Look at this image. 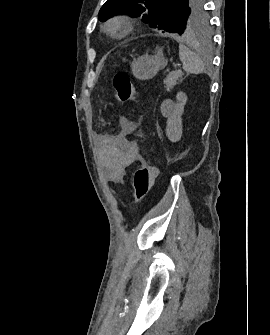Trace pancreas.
<instances>
[{"label": "pancreas", "instance_id": "cf45deb5", "mask_svg": "<svg viewBox=\"0 0 270 335\" xmlns=\"http://www.w3.org/2000/svg\"><path fill=\"white\" fill-rule=\"evenodd\" d=\"M182 72H170L168 76H166L164 80L165 88L167 92H170L174 86L177 84V80H180L182 82Z\"/></svg>", "mask_w": 270, "mask_h": 335}]
</instances>
